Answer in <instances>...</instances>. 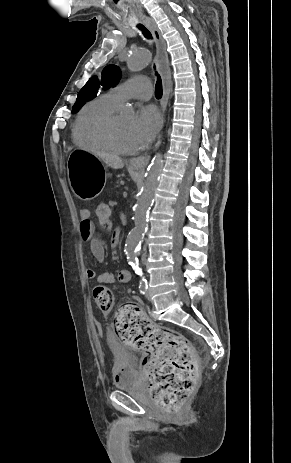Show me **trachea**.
Instances as JSON below:
<instances>
[{"label":"trachea","mask_w":291,"mask_h":463,"mask_svg":"<svg viewBox=\"0 0 291 463\" xmlns=\"http://www.w3.org/2000/svg\"><path fill=\"white\" fill-rule=\"evenodd\" d=\"M138 28L142 31L143 35L148 38V39H151V33L141 24H138L137 25ZM156 75H157V82H156V86H155V96L157 99H160L162 97V80H161V77L158 75V73L156 72Z\"/></svg>","instance_id":"3493384b"}]
</instances>
